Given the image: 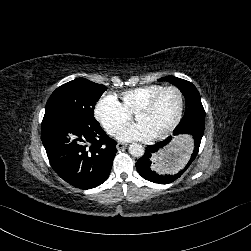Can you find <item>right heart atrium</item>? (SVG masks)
<instances>
[{"instance_id": "d8ad5b80", "label": "right heart atrium", "mask_w": 251, "mask_h": 251, "mask_svg": "<svg viewBox=\"0 0 251 251\" xmlns=\"http://www.w3.org/2000/svg\"><path fill=\"white\" fill-rule=\"evenodd\" d=\"M93 112L97 121L112 136L129 119L127 109L114 93L103 94L95 102Z\"/></svg>"}]
</instances>
